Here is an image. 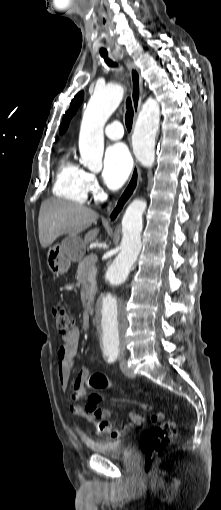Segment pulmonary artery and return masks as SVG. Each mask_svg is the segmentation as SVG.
<instances>
[{
	"instance_id": "obj_1",
	"label": "pulmonary artery",
	"mask_w": 221,
	"mask_h": 510,
	"mask_svg": "<svg viewBox=\"0 0 221 510\" xmlns=\"http://www.w3.org/2000/svg\"><path fill=\"white\" fill-rule=\"evenodd\" d=\"M105 135L111 140H119L123 136V127L119 122H112L105 128Z\"/></svg>"
}]
</instances>
